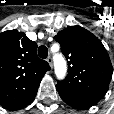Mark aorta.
<instances>
[{
	"label": "aorta",
	"mask_w": 114,
	"mask_h": 114,
	"mask_svg": "<svg viewBox=\"0 0 114 114\" xmlns=\"http://www.w3.org/2000/svg\"><path fill=\"white\" fill-rule=\"evenodd\" d=\"M55 74L58 79H63L66 75L67 65L65 59L61 55L54 57Z\"/></svg>",
	"instance_id": "obj_1"
}]
</instances>
